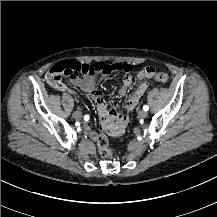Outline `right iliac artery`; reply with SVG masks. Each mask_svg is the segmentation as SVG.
Returning <instances> with one entry per match:
<instances>
[{
	"mask_svg": "<svg viewBox=\"0 0 217 217\" xmlns=\"http://www.w3.org/2000/svg\"><path fill=\"white\" fill-rule=\"evenodd\" d=\"M85 121H90V116L89 115H85L83 118Z\"/></svg>",
	"mask_w": 217,
	"mask_h": 217,
	"instance_id": "82829eb1",
	"label": "right iliac artery"
}]
</instances>
